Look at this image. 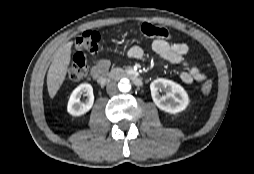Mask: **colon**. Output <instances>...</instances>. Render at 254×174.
<instances>
[{
    "label": "colon",
    "mask_w": 254,
    "mask_h": 174,
    "mask_svg": "<svg viewBox=\"0 0 254 174\" xmlns=\"http://www.w3.org/2000/svg\"><path fill=\"white\" fill-rule=\"evenodd\" d=\"M141 32L146 37H153L162 40L171 38L169 30L165 27L144 23L141 26ZM101 37L95 31H86L78 37L73 46V61L67 71L69 81H80L88 76L90 68L89 56H95L98 53ZM213 83L211 80H205L201 90L203 94L211 93Z\"/></svg>",
    "instance_id": "colon-1"
}]
</instances>
